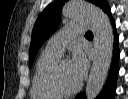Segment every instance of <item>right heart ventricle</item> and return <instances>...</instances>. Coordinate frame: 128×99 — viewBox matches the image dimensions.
Here are the masks:
<instances>
[{
	"instance_id": "e07e8e85",
	"label": "right heart ventricle",
	"mask_w": 128,
	"mask_h": 99,
	"mask_svg": "<svg viewBox=\"0 0 128 99\" xmlns=\"http://www.w3.org/2000/svg\"><path fill=\"white\" fill-rule=\"evenodd\" d=\"M59 53H56L48 48H45L39 55L34 74L32 78V86L30 95L33 99H58L60 94L52 90L47 84V74L51 67L60 58Z\"/></svg>"
}]
</instances>
